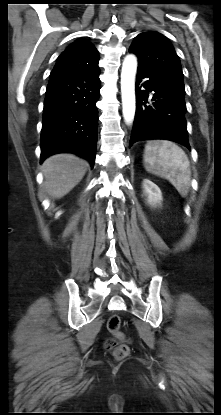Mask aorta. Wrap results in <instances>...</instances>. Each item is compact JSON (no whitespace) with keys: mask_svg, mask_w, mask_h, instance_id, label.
<instances>
[{"mask_svg":"<svg viewBox=\"0 0 221 415\" xmlns=\"http://www.w3.org/2000/svg\"><path fill=\"white\" fill-rule=\"evenodd\" d=\"M137 71V58L135 55H127L122 64L121 71V96L123 118L130 125L135 116V76Z\"/></svg>","mask_w":221,"mask_h":415,"instance_id":"obj_1","label":"aorta"}]
</instances>
